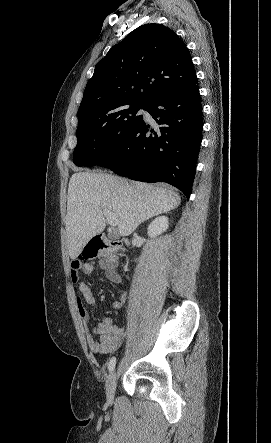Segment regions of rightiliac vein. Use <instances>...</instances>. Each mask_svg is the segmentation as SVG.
<instances>
[{"label":"right iliac vein","instance_id":"63e3f726","mask_svg":"<svg viewBox=\"0 0 271 443\" xmlns=\"http://www.w3.org/2000/svg\"><path fill=\"white\" fill-rule=\"evenodd\" d=\"M117 383V374L113 372L106 381V399L108 404H112L114 400Z\"/></svg>","mask_w":271,"mask_h":443}]
</instances>
